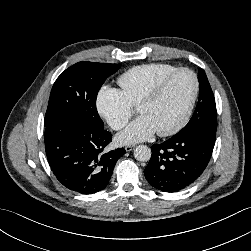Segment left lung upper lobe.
Segmentation results:
<instances>
[{"label":"left lung upper lobe","mask_w":251,"mask_h":251,"mask_svg":"<svg viewBox=\"0 0 251 251\" xmlns=\"http://www.w3.org/2000/svg\"><path fill=\"white\" fill-rule=\"evenodd\" d=\"M198 80L200 94L196 109L188 124L176 135H182L196 129H204L216 133L217 111L215 98L205 71L201 68L198 71Z\"/></svg>","instance_id":"obj_1"}]
</instances>
